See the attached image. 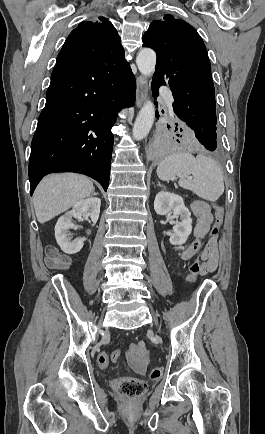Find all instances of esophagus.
Here are the masks:
<instances>
[{
  "mask_svg": "<svg viewBox=\"0 0 265 434\" xmlns=\"http://www.w3.org/2000/svg\"><path fill=\"white\" fill-rule=\"evenodd\" d=\"M136 85V105L138 108H140L148 95L147 79L143 76L137 77Z\"/></svg>",
  "mask_w": 265,
  "mask_h": 434,
  "instance_id": "34e87169",
  "label": "esophagus"
}]
</instances>
